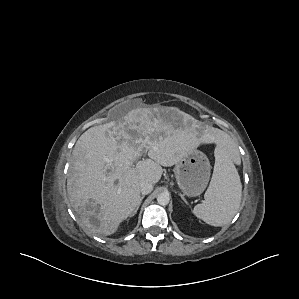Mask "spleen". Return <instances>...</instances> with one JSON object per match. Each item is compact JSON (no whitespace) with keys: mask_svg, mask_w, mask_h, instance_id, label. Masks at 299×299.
Wrapping results in <instances>:
<instances>
[{"mask_svg":"<svg viewBox=\"0 0 299 299\" xmlns=\"http://www.w3.org/2000/svg\"><path fill=\"white\" fill-rule=\"evenodd\" d=\"M242 196V184L228 148L218 143L215 165L205 202L197 204L193 213L211 226L228 224L237 213Z\"/></svg>","mask_w":299,"mask_h":299,"instance_id":"obj_1","label":"spleen"}]
</instances>
